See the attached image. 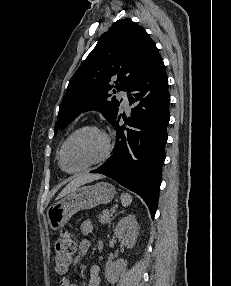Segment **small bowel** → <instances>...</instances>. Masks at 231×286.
Segmentation results:
<instances>
[{
  "label": "small bowel",
  "mask_w": 231,
  "mask_h": 286,
  "mask_svg": "<svg viewBox=\"0 0 231 286\" xmlns=\"http://www.w3.org/2000/svg\"><path fill=\"white\" fill-rule=\"evenodd\" d=\"M80 230L84 239L79 244L78 255L75 258L74 264H76L79 259L85 256L90 248V242L88 237L93 232V224L90 220H84L80 225ZM99 266L94 264L90 268V277L87 286H100V276H99ZM59 286H79L77 283L71 282L67 277H63L60 280Z\"/></svg>",
  "instance_id": "c3829d8e"
}]
</instances>
